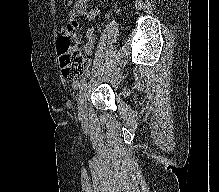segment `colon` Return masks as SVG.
Masks as SVG:
<instances>
[{"mask_svg":"<svg viewBox=\"0 0 219 192\" xmlns=\"http://www.w3.org/2000/svg\"><path fill=\"white\" fill-rule=\"evenodd\" d=\"M57 52L64 78L79 79L85 70V61L78 49V32L74 22L66 23L57 38Z\"/></svg>","mask_w":219,"mask_h":192,"instance_id":"colon-1","label":"colon"}]
</instances>
